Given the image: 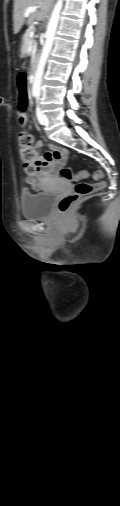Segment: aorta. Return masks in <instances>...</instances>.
Here are the masks:
<instances>
[{"instance_id": "aorta-1", "label": "aorta", "mask_w": 120, "mask_h": 506, "mask_svg": "<svg viewBox=\"0 0 120 506\" xmlns=\"http://www.w3.org/2000/svg\"><path fill=\"white\" fill-rule=\"evenodd\" d=\"M63 0H58L57 4L55 5V8L52 12L51 18L49 20L46 34H45V43L43 45V49L38 61V65L36 68L33 86H32V93L33 95H39L41 92V85H42V78L46 66L47 59L49 57V54L51 52L55 34L57 31L58 23H59V17H60V11L62 9Z\"/></svg>"}]
</instances>
